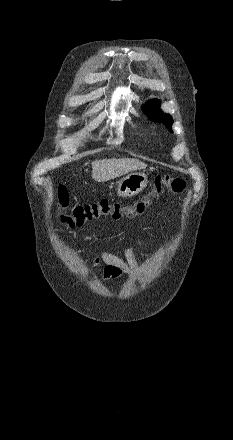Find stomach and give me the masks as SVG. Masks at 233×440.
Wrapping results in <instances>:
<instances>
[{
	"mask_svg": "<svg viewBox=\"0 0 233 440\" xmlns=\"http://www.w3.org/2000/svg\"><path fill=\"white\" fill-rule=\"evenodd\" d=\"M148 179L144 173H132L116 183L118 196L132 197L139 194L147 186Z\"/></svg>",
	"mask_w": 233,
	"mask_h": 440,
	"instance_id": "1",
	"label": "stomach"
}]
</instances>
